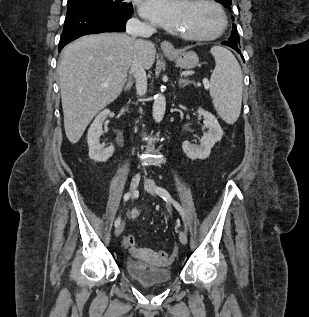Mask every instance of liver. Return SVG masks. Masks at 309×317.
Returning <instances> with one entry per match:
<instances>
[{"label": "liver", "mask_w": 309, "mask_h": 317, "mask_svg": "<svg viewBox=\"0 0 309 317\" xmlns=\"http://www.w3.org/2000/svg\"><path fill=\"white\" fill-rule=\"evenodd\" d=\"M154 44L143 41L145 69L154 63ZM134 56L131 37L120 33L86 35L67 45L58 66L64 128L75 144L95 115L121 93Z\"/></svg>", "instance_id": "6515ba94"}]
</instances>
